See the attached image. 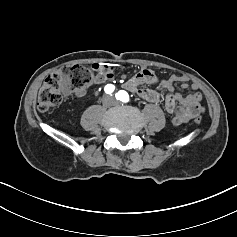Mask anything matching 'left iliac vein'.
Returning <instances> with one entry per match:
<instances>
[{
  "instance_id": "obj_1",
  "label": "left iliac vein",
  "mask_w": 237,
  "mask_h": 237,
  "mask_svg": "<svg viewBox=\"0 0 237 237\" xmlns=\"http://www.w3.org/2000/svg\"><path fill=\"white\" fill-rule=\"evenodd\" d=\"M114 104H119L118 102H114Z\"/></svg>"
}]
</instances>
